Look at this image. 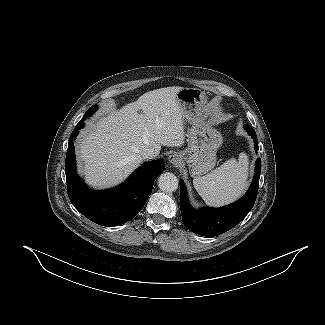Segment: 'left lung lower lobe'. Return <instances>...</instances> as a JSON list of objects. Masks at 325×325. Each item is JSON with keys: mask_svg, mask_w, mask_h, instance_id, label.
Instances as JSON below:
<instances>
[{"mask_svg": "<svg viewBox=\"0 0 325 325\" xmlns=\"http://www.w3.org/2000/svg\"><path fill=\"white\" fill-rule=\"evenodd\" d=\"M252 137L255 150H259L258 138L250 125H244ZM261 159L256 160L255 173L247 193L240 200L220 208L194 210L188 203L185 184L180 180V210L184 225L192 232L212 237L220 235L240 223L253 207L259 187Z\"/></svg>", "mask_w": 325, "mask_h": 325, "instance_id": "1", "label": "left lung lower lobe"}]
</instances>
